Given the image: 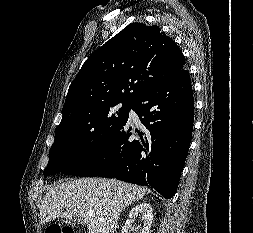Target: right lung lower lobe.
Returning <instances> with one entry per match:
<instances>
[{
    "label": "right lung lower lobe",
    "mask_w": 253,
    "mask_h": 233,
    "mask_svg": "<svg viewBox=\"0 0 253 233\" xmlns=\"http://www.w3.org/2000/svg\"><path fill=\"white\" fill-rule=\"evenodd\" d=\"M131 108L142 123L139 129L127 118L100 149L62 173L151 186L170 199L178 187L193 129L188 71L183 67L162 77Z\"/></svg>",
    "instance_id": "98d812e1"
}]
</instances>
